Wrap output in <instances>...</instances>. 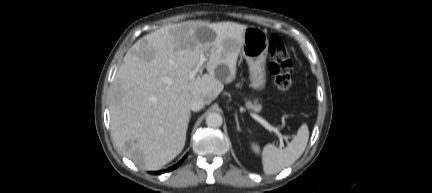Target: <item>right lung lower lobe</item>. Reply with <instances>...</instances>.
<instances>
[{
  "mask_svg": "<svg viewBox=\"0 0 432 193\" xmlns=\"http://www.w3.org/2000/svg\"><path fill=\"white\" fill-rule=\"evenodd\" d=\"M183 159H184V158H183ZM183 159H182L181 161H179V162H178L176 165H174L173 167L169 168L167 171H171V170L177 168V167L182 163ZM164 172H165V171L163 170V171H157V172H154V173H155V174H161V173H164Z\"/></svg>",
  "mask_w": 432,
  "mask_h": 193,
  "instance_id": "98d812e1",
  "label": "right lung lower lobe"
}]
</instances>
